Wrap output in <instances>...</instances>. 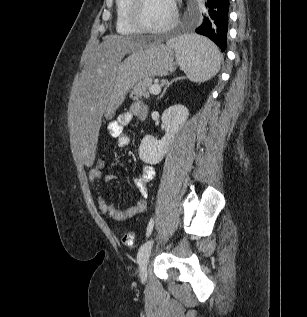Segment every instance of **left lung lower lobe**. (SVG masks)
I'll return each mask as SVG.
<instances>
[{
  "label": "left lung lower lobe",
  "mask_w": 307,
  "mask_h": 317,
  "mask_svg": "<svg viewBox=\"0 0 307 317\" xmlns=\"http://www.w3.org/2000/svg\"><path fill=\"white\" fill-rule=\"evenodd\" d=\"M229 0H205L196 33L210 38L224 52L227 42Z\"/></svg>",
  "instance_id": "left-lung-lower-lobe-1"
}]
</instances>
